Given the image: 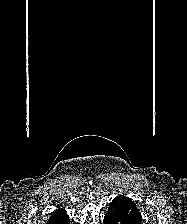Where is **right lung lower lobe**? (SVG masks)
I'll return each instance as SVG.
<instances>
[{
    "label": "right lung lower lobe",
    "mask_w": 187,
    "mask_h": 224,
    "mask_svg": "<svg viewBox=\"0 0 187 224\" xmlns=\"http://www.w3.org/2000/svg\"><path fill=\"white\" fill-rule=\"evenodd\" d=\"M47 224H69V217L64 212L63 214L55 215L51 217Z\"/></svg>",
    "instance_id": "right-lung-lower-lobe-1"
}]
</instances>
